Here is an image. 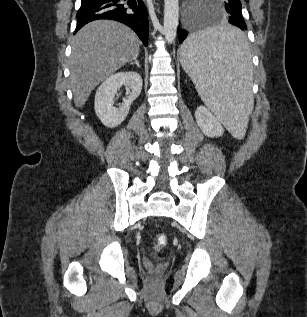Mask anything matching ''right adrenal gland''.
Instances as JSON below:
<instances>
[{
	"label": "right adrenal gland",
	"instance_id": "right-adrenal-gland-1",
	"mask_svg": "<svg viewBox=\"0 0 307 317\" xmlns=\"http://www.w3.org/2000/svg\"><path fill=\"white\" fill-rule=\"evenodd\" d=\"M130 65H136L138 68H140V65H139V62L137 60V57H135L134 60L130 62Z\"/></svg>",
	"mask_w": 307,
	"mask_h": 317
}]
</instances>
